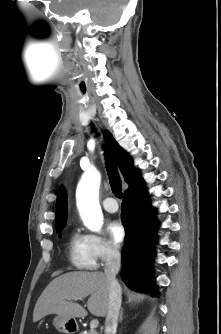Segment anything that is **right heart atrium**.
I'll return each mask as SVG.
<instances>
[{"label": "right heart atrium", "instance_id": "right-heart-atrium-1", "mask_svg": "<svg viewBox=\"0 0 221 334\" xmlns=\"http://www.w3.org/2000/svg\"><path fill=\"white\" fill-rule=\"evenodd\" d=\"M91 247L95 258L100 263H105L119 254L117 246L100 235H89Z\"/></svg>", "mask_w": 221, "mask_h": 334}]
</instances>
